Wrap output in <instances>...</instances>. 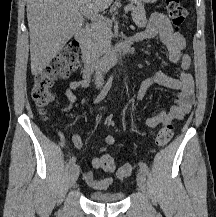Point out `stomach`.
I'll list each match as a JSON object with an SVG mask.
<instances>
[{
	"mask_svg": "<svg viewBox=\"0 0 216 217\" xmlns=\"http://www.w3.org/2000/svg\"><path fill=\"white\" fill-rule=\"evenodd\" d=\"M139 1L147 4L157 2V0H139Z\"/></svg>",
	"mask_w": 216,
	"mask_h": 217,
	"instance_id": "obj_1",
	"label": "stomach"
}]
</instances>
